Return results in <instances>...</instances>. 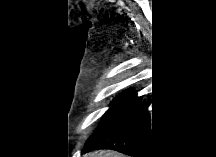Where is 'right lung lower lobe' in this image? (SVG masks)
<instances>
[{
    "instance_id": "obj_1",
    "label": "right lung lower lobe",
    "mask_w": 216,
    "mask_h": 157,
    "mask_svg": "<svg viewBox=\"0 0 216 157\" xmlns=\"http://www.w3.org/2000/svg\"><path fill=\"white\" fill-rule=\"evenodd\" d=\"M154 115L149 102L136 95L118 125L83 152L112 149L133 157H157L158 126Z\"/></svg>"
}]
</instances>
